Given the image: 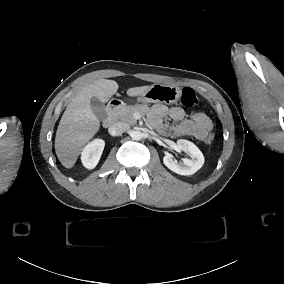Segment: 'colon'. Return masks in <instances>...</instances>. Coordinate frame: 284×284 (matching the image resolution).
Segmentation results:
<instances>
[{
	"label": "colon",
	"mask_w": 284,
	"mask_h": 284,
	"mask_svg": "<svg viewBox=\"0 0 284 284\" xmlns=\"http://www.w3.org/2000/svg\"><path fill=\"white\" fill-rule=\"evenodd\" d=\"M180 95H181L183 104L185 106L193 107L198 102L197 97L193 95L192 90L188 87L183 88L180 92ZM205 140H206V143H212L214 141V135L213 134L208 135Z\"/></svg>",
	"instance_id": "1"
}]
</instances>
